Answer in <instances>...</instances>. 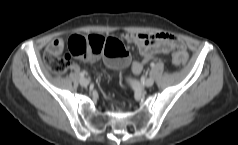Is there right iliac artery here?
Returning <instances> with one entry per match:
<instances>
[{"mask_svg":"<svg viewBox=\"0 0 238 145\" xmlns=\"http://www.w3.org/2000/svg\"><path fill=\"white\" fill-rule=\"evenodd\" d=\"M86 74H87V73H86L85 71H83V72L80 73V76H81V77H84Z\"/></svg>","mask_w":238,"mask_h":145,"instance_id":"obj_1","label":"right iliac artery"}]
</instances>
